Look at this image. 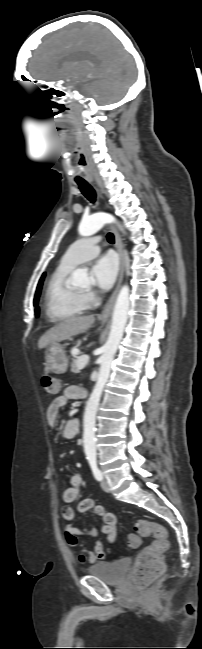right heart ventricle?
Here are the masks:
<instances>
[{
  "mask_svg": "<svg viewBox=\"0 0 202 649\" xmlns=\"http://www.w3.org/2000/svg\"><path fill=\"white\" fill-rule=\"evenodd\" d=\"M74 266L60 263L51 274L45 291V313L52 322L73 318L85 311L87 303L72 286L69 275Z\"/></svg>",
  "mask_w": 202,
  "mask_h": 649,
  "instance_id": "obj_1",
  "label": "right heart ventricle"
}]
</instances>
